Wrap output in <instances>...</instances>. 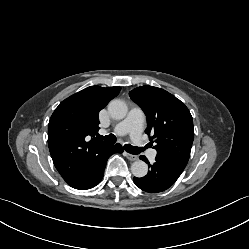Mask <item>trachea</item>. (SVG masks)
I'll list each match as a JSON object with an SVG mask.
<instances>
[{
  "label": "trachea",
  "instance_id": "obj_1",
  "mask_svg": "<svg viewBox=\"0 0 249 249\" xmlns=\"http://www.w3.org/2000/svg\"><path fill=\"white\" fill-rule=\"evenodd\" d=\"M98 139H102L108 144H114L116 142V137L113 134L106 135V136L98 135ZM124 149L128 153L133 154V155L140 154L142 152V150H143L142 148L134 147V146H132L130 144H125Z\"/></svg>",
  "mask_w": 249,
  "mask_h": 249
}]
</instances>
